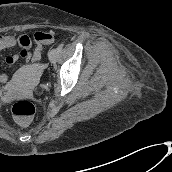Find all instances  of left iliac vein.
Segmentation results:
<instances>
[{
	"instance_id": "1",
	"label": "left iliac vein",
	"mask_w": 172,
	"mask_h": 172,
	"mask_svg": "<svg viewBox=\"0 0 172 172\" xmlns=\"http://www.w3.org/2000/svg\"><path fill=\"white\" fill-rule=\"evenodd\" d=\"M57 57H58V51H57V49H51L49 51V60L51 62H55L57 60Z\"/></svg>"
}]
</instances>
